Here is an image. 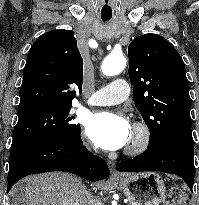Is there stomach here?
<instances>
[{"instance_id":"stomach-1","label":"stomach","mask_w":199,"mask_h":205,"mask_svg":"<svg viewBox=\"0 0 199 205\" xmlns=\"http://www.w3.org/2000/svg\"><path fill=\"white\" fill-rule=\"evenodd\" d=\"M131 205H159L165 196V184L155 172L126 174L118 181Z\"/></svg>"}]
</instances>
